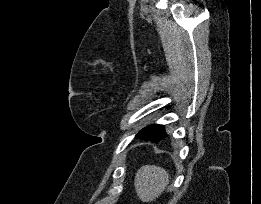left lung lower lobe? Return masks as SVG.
Segmentation results:
<instances>
[{"label":"left lung lower lobe","mask_w":261,"mask_h":204,"mask_svg":"<svg viewBox=\"0 0 261 204\" xmlns=\"http://www.w3.org/2000/svg\"><path fill=\"white\" fill-rule=\"evenodd\" d=\"M164 137H165V132L163 130L158 136L154 137L153 139H151L149 141L157 143L160 139H162Z\"/></svg>","instance_id":"1"}]
</instances>
